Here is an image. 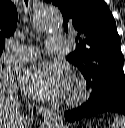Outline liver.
Here are the masks:
<instances>
[{
	"label": "liver",
	"instance_id": "obj_1",
	"mask_svg": "<svg viewBox=\"0 0 125 128\" xmlns=\"http://www.w3.org/2000/svg\"><path fill=\"white\" fill-rule=\"evenodd\" d=\"M17 87L0 68V128H21Z\"/></svg>",
	"mask_w": 125,
	"mask_h": 128
}]
</instances>
